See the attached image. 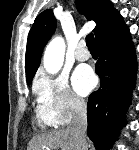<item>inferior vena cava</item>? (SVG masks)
Instances as JSON below:
<instances>
[{
  "label": "inferior vena cava",
  "mask_w": 139,
  "mask_h": 150,
  "mask_svg": "<svg viewBox=\"0 0 139 150\" xmlns=\"http://www.w3.org/2000/svg\"><path fill=\"white\" fill-rule=\"evenodd\" d=\"M73 119L68 127L72 134L76 150H87L86 129H87V109L86 103L78 98L73 99Z\"/></svg>",
  "instance_id": "inferior-vena-cava-1"
}]
</instances>
